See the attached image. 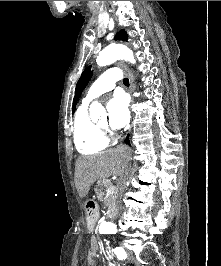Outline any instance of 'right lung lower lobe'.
I'll return each mask as SVG.
<instances>
[{"label":"right lung lower lobe","mask_w":221,"mask_h":266,"mask_svg":"<svg viewBox=\"0 0 221 266\" xmlns=\"http://www.w3.org/2000/svg\"><path fill=\"white\" fill-rule=\"evenodd\" d=\"M128 137L129 136H127V139L125 140V143L128 144V145H130V141H129V138Z\"/></svg>","instance_id":"right-lung-lower-lobe-1"}]
</instances>
